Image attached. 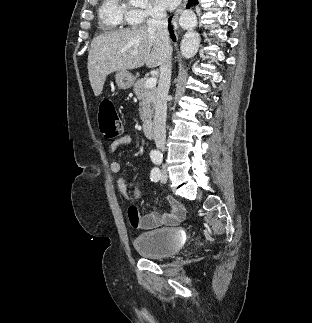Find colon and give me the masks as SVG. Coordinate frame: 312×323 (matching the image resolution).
I'll return each mask as SVG.
<instances>
[{
	"label": "colon",
	"instance_id": "5ec220e1",
	"mask_svg": "<svg viewBox=\"0 0 312 323\" xmlns=\"http://www.w3.org/2000/svg\"><path fill=\"white\" fill-rule=\"evenodd\" d=\"M99 130L103 137L113 139L122 136V122L117 115L114 103L111 99H104L98 109ZM135 195L140 193L138 188L133 190ZM135 211H133L134 214Z\"/></svg>",
	"mask_w": 312,
	"mask_h": 323
}]
</instances>
